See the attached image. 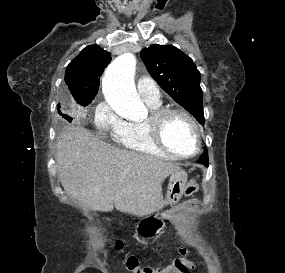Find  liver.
<instances>
[{
    "mask_svg": "<svg viewBox=\"0 0 285 273\" xmlns=\"http://www.w3.org/2000/svg\"><path fill=\"white\" fill-rule=\"evenodd\" d=\"M56 161L64 190L95 211L138 217L164 206L162 182L176 163L116 148L82 126L66 127L57 137Z\"/></svg>",
    "mask_w": 285,
    "mask_h": 273,
    "instance_id": "6515ba94",
    "label": "liver"
}]
</instances>
